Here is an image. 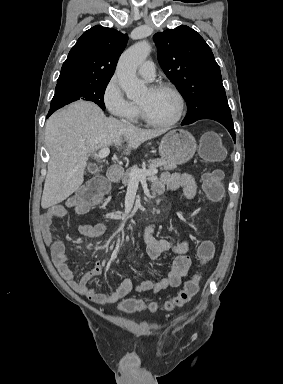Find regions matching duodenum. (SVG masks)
I'll return each instance as SVG.
<instances>
[{"label": "duodenum", "instance_id": "410a0bca", "mask_svg": "<svg viewBox=\"0 0 283 384\" xmlns=\"http://www.w3.org/2000/svg\"><path fill=\"white\" fill-rule=\"evenodd\" d=\"M123 173V169L117 165H111L108 170V179L111 181H118L120 180Z\"/></svg>", "mask_w": 283, "mask_h": 384}]
</instances>
